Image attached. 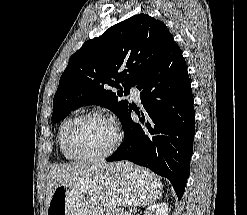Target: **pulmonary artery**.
<instances>
[{"label": "pulmonary artery", "instance_id": "obj_1", "mask_svg": "<svg viewBox=\"0 0 247 215\" xmlns=\"http://www.w3.org/2000/svg\"><path fill=\"white\" fill-rule=\"evenodd\" d=\"M130 95L135 101L140 100V90L136 86L130 88Z\"/></svg>", "mask_w": 247, "mask_h": 215}]
</instances>
